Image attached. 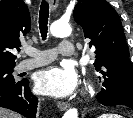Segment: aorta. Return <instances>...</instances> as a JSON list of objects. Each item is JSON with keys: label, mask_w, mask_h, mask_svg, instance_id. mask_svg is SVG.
<instances>
[{"label": "aorta", "mask_w": 133, "mask_h": 118, "mask_svg": "<svg viewBox=\"0 0 133 118\" xmlns=\"http://www.w3.org/2000/svg\"><path fill=\"white\" fill-rule=\"evenodd\" d=\"M50 32L55 37H68L70 36L72 29L69 24L63 22H54L50 27ZM63 118H78V111L75 108L67 110Z\"/></svg>", "instance_id": "762f6f07"}]
</instances>
